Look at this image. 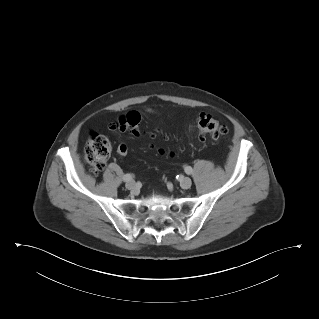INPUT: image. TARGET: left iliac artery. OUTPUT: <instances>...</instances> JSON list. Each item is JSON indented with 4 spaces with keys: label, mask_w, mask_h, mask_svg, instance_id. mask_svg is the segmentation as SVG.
Masks as SVG:
<instances>
[{
    "label": "left iliac artery",
    "mask_w": 319,
    "mask_h": 319,
    "mask_svg": "<svg viewBox=\"0 0 319 319\" xmlns=\"http://www.w3.org/2000/svg\"><path fill=\"white\" fill-rule=\"evenodd\" d=\"M192 171H193L192 167H190V166H186V167H185V172H186L188 175H190V174L192 173Z\"/></svg>",
    "instance_id": "obj_1"
}]
</instances>
